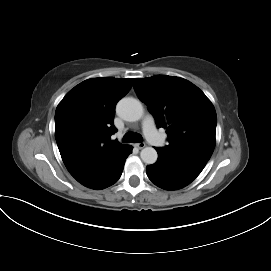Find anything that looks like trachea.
<instances>
[{
	"label": "trachea",
	"mask_w": 271,
	"mask_h": 271,
	"mask_svg": "<svg viewBox=\"0 0 271 271\" xmlns=\"http://www.w3.org/2000/svg\"><path fill=\"white\" fill-rule=\"evenodd\" d=\"M142 141V136L137 133L133 132H127L124 137H123V142L124 143H139Z\"/></svg>",
	"instance_id": "obj_1"
}]
</instances>
